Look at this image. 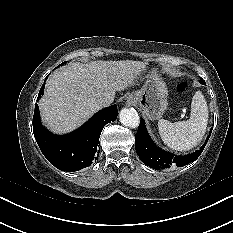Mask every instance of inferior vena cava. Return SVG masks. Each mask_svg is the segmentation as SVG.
Listing matches in <instances>:
<instances>
[{"label": "inferior vena cava", "mask_w": 233, "mask_h": 233, "mask_svg": "<svg viewBox=\"0 0 233 233\" xmlns=\"http://www.w3.org/2000/svg\"><path fill=\"white\" fill-rule=\"evenodd\" d=\"M98 103L101 107H106L112 103V100L107 97H103L98 100Z\"/></svg>", "instance_id": "inferior-vena-cava-1"}]
</instances>
